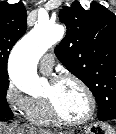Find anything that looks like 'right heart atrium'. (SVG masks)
Here are the masks:
<instances>
[{"mask_svg":"<svg viewBox=\"0 0 116 134\" xmlns=\"http://www.w3.org/2000/svg\"><path fill=\"white\" fill-rule=\"evenodd\" d=\"M4 99L8 107L16 115L27 116L32 108V98L23 94L12 81H9L6 85Z\"/></svg>","mask_w":116,"mask_h":134,"instance_id":"obj_1","label":"right heart atrium"}]
</instances>
